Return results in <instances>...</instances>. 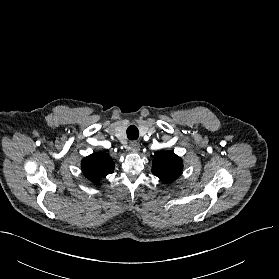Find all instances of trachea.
<instances>
[{"mask_svg": "<svg viewBox=\"0 0 279 279\" xmlns=\"http://www.w3.org/2000/svg\"><path fill=\"white\" fill-rule=\"evenodd\" d=\"M127 137L130 140H136L139 137V130L136 126L131 125L127 128Z\"/></svg>", "mask_w": 279, "mask_h": 279, "instance_id": "1", "label": "trachea"}]
</instances>
